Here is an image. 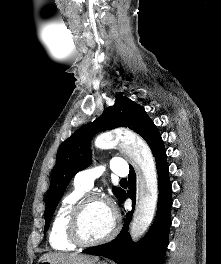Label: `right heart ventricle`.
Returning a JSON list of instances; mask_svg holds the SVG:
<instances>
[{"mask_svg":"<svg viewBox=\"0 0 221 264\" xmlns=\"http://www.w3.org/2000/svg\"><path fill=\"white\" fill-rule=\"evenodd\" d=\"M84 194V190L74 186L61 200L49 233V242L53 249L72 251L76 248V245L69 239L67 234V220L71 208Z\"/></svg>","mask_w":221,"mask_h":264,"instance_id":"obj_1","label":"right heart ventricle"}]
</instances>
